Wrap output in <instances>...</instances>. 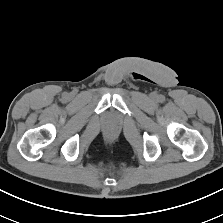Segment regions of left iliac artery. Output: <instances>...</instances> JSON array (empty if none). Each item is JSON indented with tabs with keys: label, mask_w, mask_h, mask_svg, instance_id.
I'll use <instances>...</instances> for the list:
<instances>
[{
	"label": "left iliac artery",
	"mask_w": 223,
	"mask_h": 223,
	"mask_svg": "<svg viewBox=\"0 0 223 223\" xmlns=\"http://www.w3.org/2000/svg\"><path fill=\"white\" fill-rule=\"evenodd\" d=\"M159 101H160V102H163V101H164V97L160 95V96H159Z\"/></svg>",
	"instance_id": "left-iliac-artery-1"
}]
</instances>
